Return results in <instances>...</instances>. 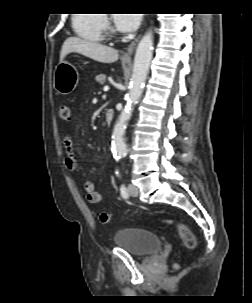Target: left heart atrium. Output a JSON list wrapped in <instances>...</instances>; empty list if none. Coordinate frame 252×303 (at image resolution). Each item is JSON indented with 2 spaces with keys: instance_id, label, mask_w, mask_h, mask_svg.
Segmentation results:
<instances>
[{
  "instance_id": "obj_1",
  "label": "left heart atrium",
  "mask_w": 252,
  "mask_h": 303,
  "mask_svg": "<svg viewBox=\"0 0 252 303\" xmlns=\"http://www.w3.org/2000/svg\"><path fill=\"white\" fill-rule=\"evenodd\" d=\"M140 14H115L114 23L122 32H132L140 24Z\"/></svg>"
}]
</instances>
